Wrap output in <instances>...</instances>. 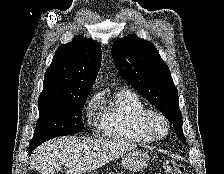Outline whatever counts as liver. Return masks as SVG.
Listing matches in <instances>:
<instances>
[{
	"instance_id": "obj_1",
	"label": "liver",
	"mask_w": 224,
	"mask_h": 174,
	"mask_svg": "<svg viewBox=\"0 0 224 174\" xmlns=\"http://www.w3.org/2000/svg\"><path fill=\"white\" fill-rule=\"evenodd\" d=\"M135 147L117 140L61 137L43 143L33 151L30 169L41 174H56L65 165L66 174H85Z\"/></svg>"
}]
</instances>
